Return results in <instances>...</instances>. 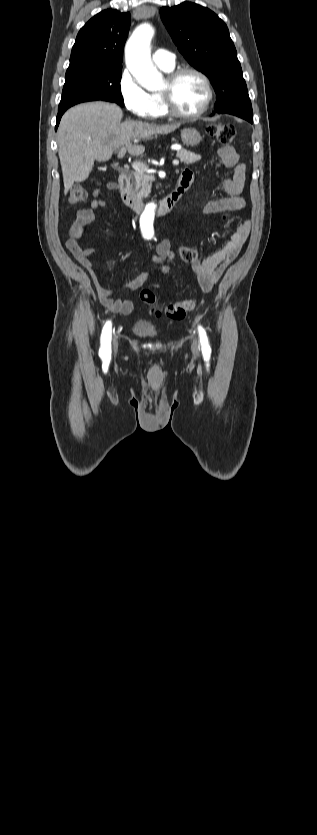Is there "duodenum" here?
Returning <instances> with one entry per match:
<instances>
[{
    "instance_id": "1",
    "label": "duodenum",
    "mask_w": 317,
    "mask_h": 835,
    "mask_svg": "<svg viewBox=\"0 0 317 835\" xmlns=\"http://www.w3.org/2000/svg\"><path fill=\"white\" fill-rule=\"evenodd\" d=\"M117 186L120 190L124 203L130 209L135 212H141L144 209L146 203L130 192L129 176L126 173H121L119 175ZM188 187L189 184L180 179L176 188L171 193H169L164 199L156 202L157 212L165 215L173 211Z\"/></svg>"
}]
</instances>
